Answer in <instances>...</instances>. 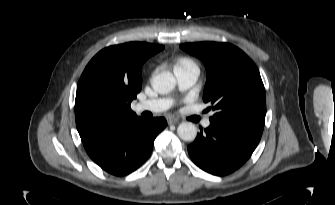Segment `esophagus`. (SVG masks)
I'll return each instance as SVG.
<instances>
[{
	"label": "esophagus",
	"instance_id": "obj_1",
	"mask_svg": "<svg viewBox=\"0 0 335 205\" xmlns=\"http://www.w3.org/2000/svg\"><path fill=\"white\" fill-rule=\"evenodd\" d=\"M178 122V119H176L175 117H168L167 118V123L168 124H174V123H177Z\"/></svg>",
	"mask_w": 335,
	"mask_h": 205
}]
</instances>
